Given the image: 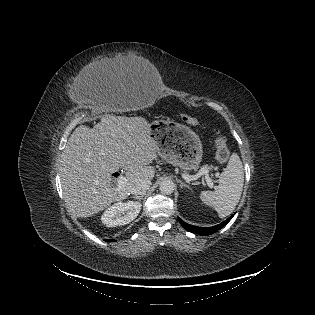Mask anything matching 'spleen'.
Returning a JSON list of instances; mask_svg holds the SVG:
<instances>
[{"label":"spleen","instance_id":"obj_1","mask_svg":"<svg viewBox=\"0 0 315 315\" xmlns=\"http://www.w3.org/2000/svg\"><path fill=\"white\" fill-rule=\"evenodd\" d=\"M214 191H202L200 200L213 207L220 218L230 215L238 204L244 183V169L239 156L233 153L219 177Z\"/></svg>","mask_w":315,"mask_h":315}]
</instances>
